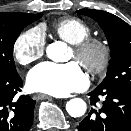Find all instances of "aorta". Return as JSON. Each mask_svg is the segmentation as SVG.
Returning a JSON list of instances; mask_svg holds the SVG:
<instances>
[{"mask_svg": "<svg viewBox=\"0 0 131 131\" xmlns=\"http://www.w3.org/2000/svg\"><path fill=\"white\" fill-rule=\"evenodd\" d=\"M65 46L57 42L47 47V55L53 61H60L64 54ZM87 105L83 99L73 98L66 104V110L71 117H81L85 114Z\"/></svg>", "mask_w": 131, "mask_h": 131, "instance_id": "762f6f07", "label": "aorta"}]
</instances>
